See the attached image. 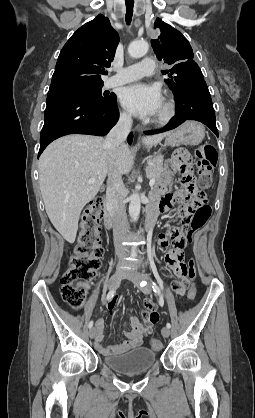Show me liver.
Returning a JSON list of instances; mask_svg holds the SVG:
<instances>
[{
	"label": "liver",
	"mask_w": 255,
	"mask_h": 418,
	"mask_svg": "<svg viewBox=\"0 0 255 418\" xmlns=\"http://www.w3.org/2000/svg\"><path fill=\"white\" fill-rule=\"evenodd\" d=\"M168 133L147 136L143 144L152 147ZM133 156L122 143L114 155L105 139L91 135H68L51 143L39 159V183L46 213L56 230L73 243L84 206L98 193L113 171L130 172ZM95 182L89 184V180Z\"/></svg>",
	"instance_id": "6515ba94"
}]
</instances>
